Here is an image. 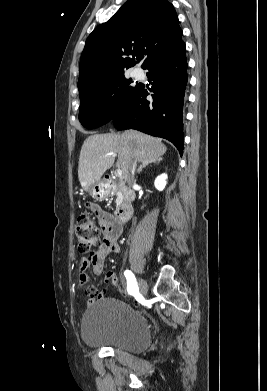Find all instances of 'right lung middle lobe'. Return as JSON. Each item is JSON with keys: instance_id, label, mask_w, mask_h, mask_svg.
<instances>
[{"instance_id": "obj_1", "label": "right lung middle lobe", "mask_w": 267, "mask_h": 391, "mask_svg": "<svg viewBox=\"0 0 267 391\" xmlns=\"http://www.w3.org/2000/svg\"><path fill=\"white\" fill-rule=\"evenodd\" d=\"M124 72L105 77L80 94L79 120L88 129L106 124L137 93L141 84L131 86Z\"/></svg>"}]
</instances>
